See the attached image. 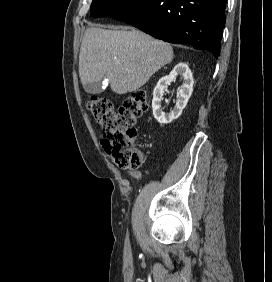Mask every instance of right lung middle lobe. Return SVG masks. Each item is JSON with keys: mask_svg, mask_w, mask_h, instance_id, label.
<instances>
[{"mask_svg": "<svg viewBox=\"0 0 272 282\" xmlns=\"http://www.w3.org/2000/svg\"><path fill=\"white\" fill-rule=\"evenodd\" d=\"M136 1L137 0H92L90 13L95 18L111 16Z\"/></svg>", "mask_w": 272, "mask_h": 282, "instance_id": "1", "label": "right lung middle lobe"}]
</instances>
